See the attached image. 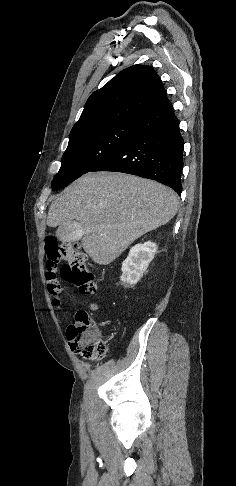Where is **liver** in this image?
<instances>
[{"instance_id": "1", "label": "liver", "mask_w": 236, "mask_h": 486, "mask_svg": "<svg viewBox=\"0 0 236 486\" xmlns=\"http://www.w3.org/2000/svg\"><path fill=\"white\" fill-rule=\"evenodd\" d=\"M176 193L156 181L119 172H90L49 207L47 225L77 220L82 247L109 265L136 239L167 224L177 213Z\"/></svg>"}]
</instances>
